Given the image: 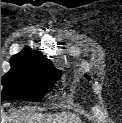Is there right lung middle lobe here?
Instances as JSON below:
<instances>
[{
    "label": "right lung middle lobe",
    "mask_w": 122,
    "mask_h": 123,
    "mask_svg": "<svg viewBox=\"0 0 122 123\" xmlns=\"http://www.w3.org/2000/svg\"><path fill=\"white\" fill-rule=\"evenodd\" d=\"M11 69L2 77L1 102L6 100L39 101L51 91L61 77L56 68L44 69L10 63Z\"/></svg>",
    "instance_id": "right-lung-middle-lobe-1"
}]
</instances>
